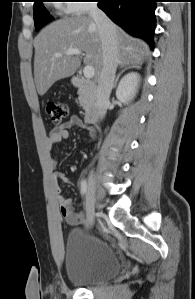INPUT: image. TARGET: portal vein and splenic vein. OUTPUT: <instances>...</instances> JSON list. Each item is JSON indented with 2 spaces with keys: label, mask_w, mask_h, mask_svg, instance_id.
<instances>
[{
  "label": "portal vein and splenic vein",
  "mask_w": 195,
  "mask_h": 299,
  "mask_svg": "<svg viewBox=\"0 0 195 299\" xmlns=\"http://www.w3.org/2000/svg\"><path fill=\"white\" fill-rule=\"evenodd\" d=\"M65 54L67 56H70V55H82L83 53L80 49L70 48L65 52ZM55 56L60 57L62 56V54L56 53ZM94 73H95L94 68L91 65H86L83 69V74L86 79H91L94 76Z\"/></svg>",
  "instance_id": "portal-vein-and-splenic-vein-1"
}]
</instances>
